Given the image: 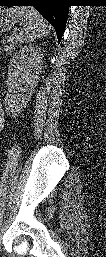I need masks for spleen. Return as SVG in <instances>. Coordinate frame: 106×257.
Returning a JSON list of instances; mask_svg holds the SVG:
<instances>
[{
    "mask_svg": "<svg viewBox=\"0 0 106 257\" xmlns=\"http://www.w3.org/2000/svg\"><path fill=\"white\" fill-rule=\"evenodd\" d=\"M18 19L23 22L20 40L31 43L36 38L50 34L51 27L33 7H17Z\"/></svg>",
    "mask_w": 106,
    "mask_h": 257,
    "instance_id": "spleen-1",
    "label": "spleen"
}]
</instances>
